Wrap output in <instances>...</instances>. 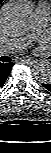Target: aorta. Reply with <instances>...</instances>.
<instances>
[{
	"instance_id": "1",
	"label": "aorta",
	"mask_w": 51,
	"mask_h": 153,
	"mask_svg": "<svg viewBox=\"0 0 51 153\" xmlns=\"http://www.w3.org/2000/svg\"><path fill=\"white\" fill-rule=\"evenodd\" d=\"M2 27L6 33L15 35L29 30L32 22V9L27 3L12 2L1 11ZM34 76L42 83L51 81V64L47 60L38 62L33 67Z\"/></svg>"
}]
</instances>
